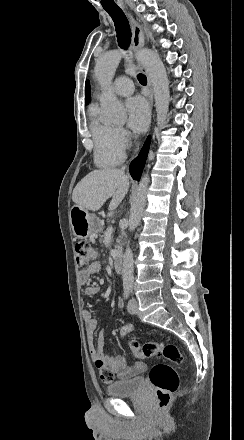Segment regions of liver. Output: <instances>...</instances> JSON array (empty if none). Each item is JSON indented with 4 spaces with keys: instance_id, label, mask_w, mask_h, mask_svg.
<instances>
[{
    "instance_id": "obj_1",
    "label": "liver",
    "mask_w": 244,
    "mask_h": 440,
    "mask_svg": "<svg viewBox=\"0 0 244 440\" xmlns=\"http://www.w3.org/2000/svg\"><path fill=\"white\" fill-rule=\"evenodd\" d=\"M129 186L128 176H125L124 170L101 168L87 174L75 186L72 200L84 210L97 212L108 198H112L108 210H116L124 200Z\"/></svg>"
}]
</instances>
